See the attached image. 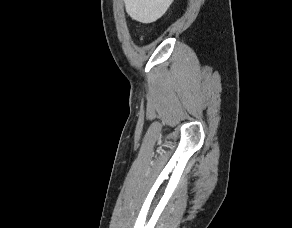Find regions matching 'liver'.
<instances>
[{
	"label": "liver",
	"instance_id": "1",
	"mask_svg": "<svg viewBox=\"0 0 292 228\" xmlns=\"http://www.w3.org/2000/svg\"><path fill=\"white\" fill-rule=\"evenodd\" d=\"M127 14L141 23H152L162 17L173 0H124Z\"/></svg>",
	"mask_w": 292,
	"mask_h": 228
}]
</instances>
